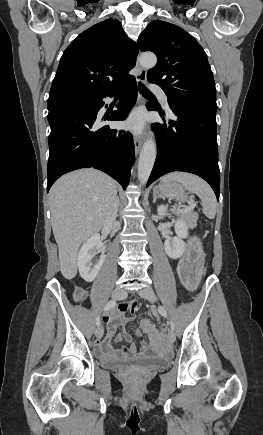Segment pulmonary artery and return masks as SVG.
<instances>
[{
	"instance_id": "e3ab8cb5",
	"label": "pulmonary artery",
	"mask_w": 263,
	"mask_h": 435,
	"mask_svg": "<svg viewBox=\"0 0 263 435\" xmlns=\"http://www.w3.org/2000/svg\"><path fill=\"white\" fill-rule=\"evenodd\" d=\"M151 90H152L154 93H157V94L160 96L161 101H162V103H163L165 106H168V98H167L166 94L164 93V91L162 90L161 87H159V86L156 85V84H152V85H151Z\"/></svg>"
}]
</instances>
